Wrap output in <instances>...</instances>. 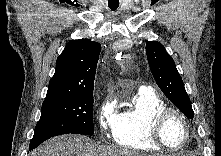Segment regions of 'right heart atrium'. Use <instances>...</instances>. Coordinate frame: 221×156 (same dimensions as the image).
Wrapping results in <instances>:
<instances>
[{"instance_id":"obj_1","label":"right heart atrium","mask_w":221,"mask_h":156,"mask_svg":"<svg viewBox=\"0 0 221 156\" xmlns=\"http://www.w3.org/2000/svg\"><path fill=\"white\" fill-rule=\"evenodd\" d=\"M116 115L115 101L110 97H106L97 111V121L102 135H107L113 131Z\"/></svg>"}]
</instances>
